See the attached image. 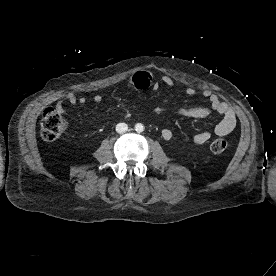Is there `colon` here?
<instances>
[{
	"mask_svg": "<svg viewBox=\"0 0 276 276\" xmlns=\"http://www.w3.org/2000/svg\"><path fill=\"white\" fill-rule=\"evenodd\" d=\"M67 121L64 116L54 108H47L41 117V136L46 141L58 139L66 130ZM214 153H223L228 148V142L217 138L210 145Z\"/></svg>",
	"mask_w": 276,
	"mask_h": 276,
	"instance_id": "obj_1",
	"label": "colon"
}]
</instances>
